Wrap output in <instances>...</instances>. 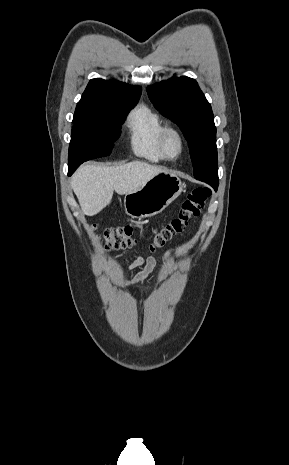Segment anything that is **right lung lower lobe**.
<instances>
[{
    "mask_svg": "<svg viewBox=\"0 0 289 465\" xmlns=\"http://www.w3.org/2000/svg\"><path fill=\"white\" fill-rule=\"evenodd\" d=\"M81 164V162L69 163L68 164V175H72L73 172L77 169V167Z\"/></svg>",
    "mask_w": 289,
    "mask_h": 465,
    "instance_id": "98d812e1",
    "label": "right lung lower lobe"
}]
</instances>
